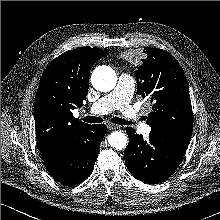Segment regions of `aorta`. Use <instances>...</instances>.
<instances>
[{"instance_id":"1","label":"aorta","mask_w":220,"mask_h":220,"mask_svg":"<svg viewBox=\"0 0 220 220\" xmlns=\"http://www.w3.org/2000/svg\"><path fill=\"white\" fill-rule=\"evenodd\" d=\"M91 82L96 90L107 92L115 87L117 76L112 68L108 66H100L94 70ZM108 142L111 147L122 150L126 147L128 138L124 133L115 131L110 134Z\"/></svg>"}]
</instances>
